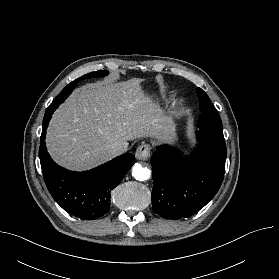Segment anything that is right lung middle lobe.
I'll return each instance as SVG.
<instances>
[{
	"label": "right lung middle lobe",
	"instance_id": "1",
	"mask_svg": "<svg viewBox=\"0 0 279 279\" xmlns=\"http://www.w3.org/2000/svg\"><path fill=\"white\" fill-rule=\"evenodd\" d=\"M108 74V71L103 70V71H96V72H92L89 74H86L74 81H72L70 84H68L62 91L61 93L55 98V100L53 102H57V103H62L60 102V99H66L68 97V95L72 92V90L76 87V84L86 78H91V77H101V76H106Z\"/></svg>",
	"mask_w": 279,
	"mask_h": 279
}]
</instances>
